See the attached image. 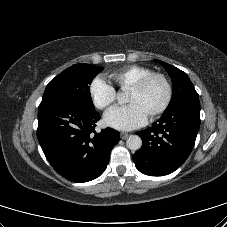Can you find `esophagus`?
<instances>
[{
  "instance_id": "esophagus-1",
  "label": "esophagus",
  "mask_w": 227,
  "mask_h": 227,
  "mask_svg": "<svg viewBox=\"0 0 227 227\" xmlns=\"http://www.w3.org/2000/svg\"><path fill=\"white\" fill-rule=\"evenodd\" d=\"M120 136H121V139L125 140V139L129 136V134H128V133L122 132V133L120 134Z\"/></svg>"
}]
</instances>
